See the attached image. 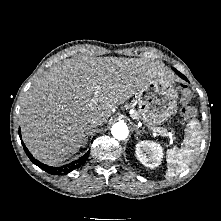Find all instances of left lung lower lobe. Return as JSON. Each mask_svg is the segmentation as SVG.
<instances>
[{"instance_id": "obj_1", "label": "left lung lower lobe", "mask_w": 221, "mask_h": 221, "mask_svg": "<svg viewBox=\"0 0 221 221\" xmlns=\"http://www.w3.org/2000/svg\"><path fill=\"white\" fill-rule=\"evenodd\" d=\"M174 71L184 80H187L186 77L184 75H182L179 71H177L176 69H174Z\"/></svg>"}]
</instances>
